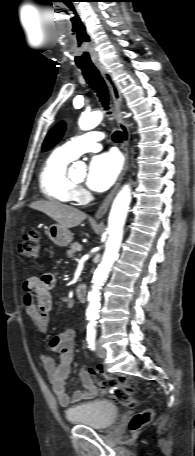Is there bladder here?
<instances>
[{"label":"bladder","mask_w":195,"mask_h":456,"mask_svg":"<svg viewBox=\"0 0 195 456\" xmlns=\"http://www.w3.org/2000/svg\"><path fill=\"white\" fill-rule=\"evenodd\" d=\"M119 415V408L108 400L82 403L66 411V418L71 424L97 430H104L112 426Z\"/></svg>","instance_id":"31cf9c89"}]
</instances>
